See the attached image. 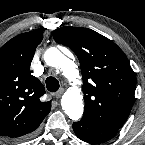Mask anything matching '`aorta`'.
<instances>
[{
	"label": "aorta",
	"instance_id": "1",
	"mask_svg": "<svg viewBox=\"0 0 145 145\" xmlns=\"http://www.w3.org/2000/svg\"><path fill=\"white\" fill-rule=\"evenodd\" d=\"M44 61L48 66L61 68L70 81L78 82L80 76L75 65L57 48H48L44 53ZM61 106L71 120H79L84 111L81 92L75 88L67 90L62 96Z\"/></svg>",
	"mask_w": 145,
	"mask_h": 145
}]
</instances>
